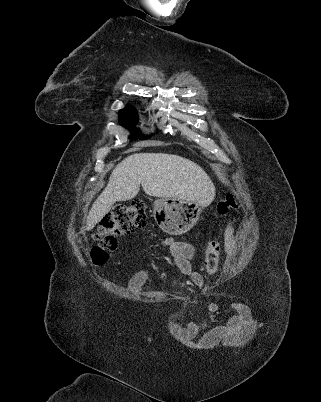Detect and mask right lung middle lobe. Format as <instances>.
Wrapping results in <instances>:
<instances>
[{
  "instance_id": "dd1d6c3e",
  "label": "right lung middle lobe",
  "mask_w": 321,
  "mask_h": 402,
  "mask_svg": "<svg viewBox=\"0 0 321 402\" xmlns=\"http://www.w3.org/2000/svg\"><path fill=\"white\" fill-rule=\"evenodd\" d=\"M137 120L136 110L132 107H126L119 111V122L122 126L132 129ZM131 138H141V135L133 132Z\"/></svg>"
}]
</instances>
